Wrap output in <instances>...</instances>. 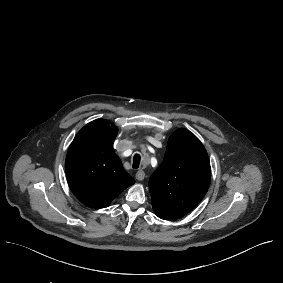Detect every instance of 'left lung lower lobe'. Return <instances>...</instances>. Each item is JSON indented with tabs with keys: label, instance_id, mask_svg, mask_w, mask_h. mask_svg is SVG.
I'll return each instance as SVG.
<instances>
[{
	"label": "left lung lower lobe",
	"instance_id": "1",
	"mask_svg": "<svg viewBox=\"0 0 283 283\" xmlns=\"http://www.w3.org/2000/svg\"><path fill=\"white\" fill-rule=\"evenodd\" d=\"M156 215L164 220H172V219H177L184 214H179V213H173V212H167V211H155Z\"/></svg>",
	"mask_w": 283,
	"mask_h": 283
}]
</instances>
